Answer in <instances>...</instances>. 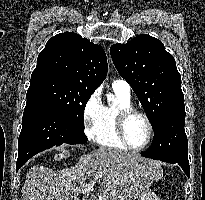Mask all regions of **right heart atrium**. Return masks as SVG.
Returning <instances> with one entry per match:
<instances>
[{
  "instance_id": "d8ad5b80",
  "label": "right heart atrium",
  "mask_w": 205,
  "mask_h": 200,
  "mask_svg": "<svg viewBox=\"0 0 205 200\" xmlns=\"http://www.w3.org/2000/svg\"><path fill=\"white\" fill-rule=\"evenodd\" d=\"M104 105L100 90L93 91L84 103L82 109V122L85 135L90 140H95L102 121Z\"/></svg>"
}]
</instances>
